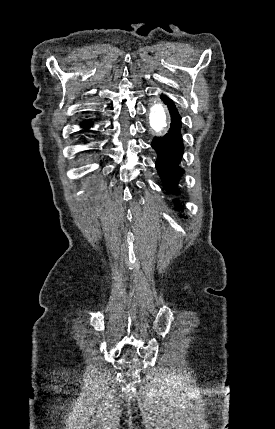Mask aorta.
Segmentation results:
<instances>
[{"label":"aorta","instance_id":"aorta-1","mask_svg":"<svg viewBox=\"0 0 275 429\" xmlns=\"http://www.w3.org/2000/svg\"><path fill=\"white\" fill-rule=\"evenodd\" d=\"M148 119L150 127L155 132H163L169 122V113L166 106L159 100L155 99L149 106Z\"/></svg>","mask_w":275,"mask_h":429}]
</instances>
